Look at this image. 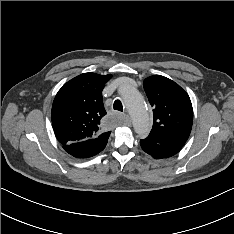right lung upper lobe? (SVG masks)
<instances>
[{
	"label": "right lung upper lobe",
	"mask_w": 234,
	"mask_h": 234,
	"mask_svg": "<svg viewBox=\"0 0 234 234\" xmlns=\"http://www.w3.org/2000/svg\"><path fill=\"white\" fill-rule=\"evenodd\" d=\"M111 75L84 73L62 86L52 105V125L64 146L93 138H109L101 124L106 111L102 90Z\"/></svg>",
	"instance_id": "cb5924a9"
}]
</instances>
